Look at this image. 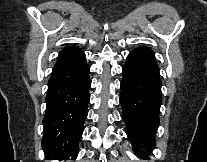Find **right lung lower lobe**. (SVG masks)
I'll use <instances>...</instances> for the list:
<instances>
[{
  "mask_svg": "<svg viewBox=\"0 0 207 162\" xmlns=\"http://www.w3.org/2000/svg\"><path fill=\"white\" fill-rule=\"evenodd\" d=\"M89 72L84 53L53 69L43 119L42 146L47 160L77 158L89 102Z\"/></svg>",
  "mask_w": 207,
  "mask_h": 162,
  "instance_id": "obj_1",
  "label": "right lung lower lobe"
}]
</instances>
